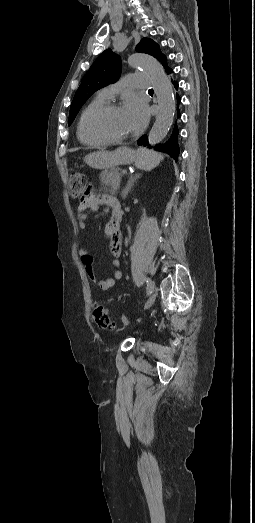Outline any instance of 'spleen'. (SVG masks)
<instances>
[{"label": "spleen", "instance_id": "spleen-1", "mask_svg": "<svg viewBox=\"0 0 255 523\" xmlns=\"http://www.w3.org/2000/svg\"><path fill=\"white\" fill-rule=\"evenodd\" d=\"M138 158H136L135 166L139 170H145V172H150L156 166H159L160 162L163 160L162 154L159 152H154V150H146V148H139Z\"/></svg>", "mask_w": 255, "mask_h": 523}]
</instances>
